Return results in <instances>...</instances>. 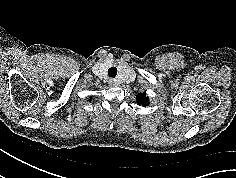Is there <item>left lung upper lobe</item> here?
I'll return each mask as SVG.
<instances>
[{
	"mask_svg": "<svg viewBox=\"0 0 236 178\" xmlns=\"http://www.w3.org/2000/svg\"><path fill=\"white\" fill-rule=\"evenodd\" d=\"M138 104H142L144 107L149 105V99L146 97L145 93H139L136 97Z\"/></svg>",
	"mask_w": 236,
	"mask_h": 178,
	"instance_id": "1",
	"label": "left lung upper lobe"
}]
</instances>
